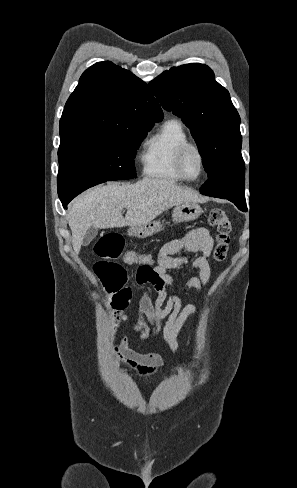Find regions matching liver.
Masks as SVG:
<instances>
[{
  "label": "liver",
  "mask_w": 297,
  "mask_h": 488,
  "mask_svg": "<svg viewBox=\"0 0 297 488\" xmlns=\"http://www.w3.org/2000/svg\"><path fill=\"white\" fill-rule=\"evenodd\" d=\"M202 200L199 194L165 179L143 178L135 184L112 182L96 186L71 204L68 216L73 249L76 254L80 252L90 227L140 226L173 206ZM123 208L127 209L125 218Z\"/></svg>",
  "instance_id": "liver-1"
}]
</instances>
